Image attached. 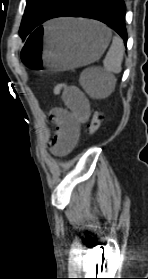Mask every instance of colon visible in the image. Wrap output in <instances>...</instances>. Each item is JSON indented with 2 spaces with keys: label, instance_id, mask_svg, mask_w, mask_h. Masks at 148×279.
<instances>
[{
  "label": "colon",
  "instance_id": "obj_1",
  "mask_svg": "<svg viewBox=\"0 0 148 279\" xmlns=\"http://www.w3.org/2000/svg\"><path fill=\"white\" fill-rule=\"evenodd\" d=\"M67 89L65 83H58L53 88L55 95H61ZM102 122V114L98 109H94L91 117L88 120L87 126L90 135H94L100 128Z\"/></svg>",
  "mask_w": 148,
  "mask_h": 279
}]
</instances>
